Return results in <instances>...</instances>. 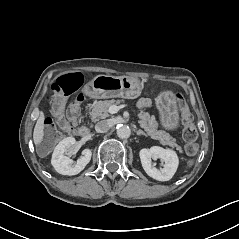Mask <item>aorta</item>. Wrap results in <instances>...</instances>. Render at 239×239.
<instances>
[{
    "instance_id": "1",
    "label": "aorta",
    "mask_w": 239,
    "mask_h": 239,
    "mask_svg": "<svg viewBox=\"0 0 239 239\" xmlns=\"http://www.w3.org/2000/svg\"><path fill=\"white\" fill-rule=\"evenodd\" d=\"M131 135V129L129 126L123 125L117 128V136L119 138H129Z\"/></svg>"
}]
</instances>
